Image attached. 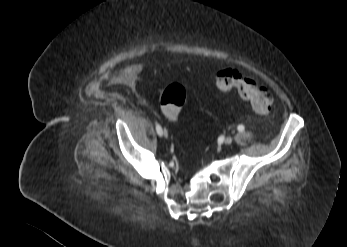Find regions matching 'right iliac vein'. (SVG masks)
<instances>
[{
  "instance_id": "right-iliac-vein-1",
  "label": "right iliac vein",
  "mask_w": 347,
  "mask_h": 247,
  "mask_svg": "<svg viewBox=\"0 0 347 247\" xmlns=\"http://www.w3.org/2000/svg\"><path fill=\"white\" fill-rule=\"evenodd\" d=\"M163 134H164V136H165V137H167V136H168V133H167V131H166V130H164Z\"/></svg>"
}]
</instances>
